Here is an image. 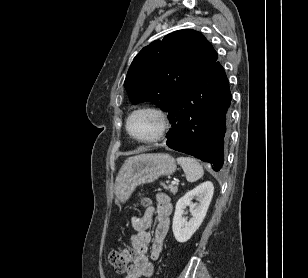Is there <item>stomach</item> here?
Segmentation results:
<instances>
[{
	"instance_id": "obj_1",
	"label": "stomach",
	"mask_w": 308,
	"mask_h": 278,
	"mask_svg": "<svg viewBox=\"0 0 308 278\" xmlns=\"http://www.w3.org/2000/svg\"><path fill=\"white\" fill-rule=\"evenodd\" d=\"M175 170V160L169 154H140L126 159L115 179L116 200L124 202L137 186L152 183Z\"/></svg>"
}]
</instances>
